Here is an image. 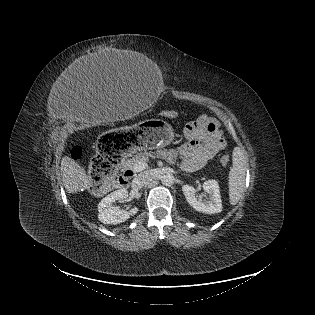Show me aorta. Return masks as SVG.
<instances>
[{"label":"aorta","instance_id":"762f6f07","mask_svg":"<svg viewBox=\"0 0 315 315\" xmlns=\"http://www.w3.org/2000/svg\"><path fill=\"white\" fill-rule=\"evenodd\" d=\"M175 181L173 174L167 173L161 177V182L165 186H171Z\"/></svg>","mask_w":315,"mask_h":315}]
</instances>
